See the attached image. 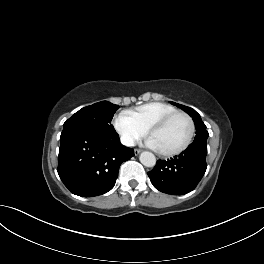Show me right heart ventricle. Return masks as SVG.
Here are the masks:
<instances>
[{
	"label": "right heart ventricle",
	"mask_w": 264,
	"mask_h": 264,
	"mask_svg": "<svg viewBox=\"0 0 264 264\" xmlns=\"http://www.w3.org/2000/svg\"><path fill=\"white\" fill-rule=\"evenodd\" d=\"M177 111L175 107L165 102H150L127 112L135 123L148 131L163 117Z\"/></svg>",
	"instance_id": "1"
}]
</instances>
